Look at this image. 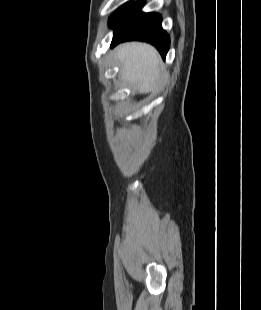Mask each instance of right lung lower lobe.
<instances>
[{
	"label": "right lung lower lobe",
	"mask_w": 261,
	"mask_h": 310,
	"mask_svg": "<svg viewBox=\"0 0 261 310\" xmlns=\"http://www.w3.org/2000/svg\"><path fill=\"white\" fill-rule=\"evenodd\" d=\"M143 4V1L128 4L110 22L114 28L111 47L128 40L146 41L154 45L165 58L170 40L161 27L162 18L156 13L141 12Z\"/></svg>",
	"instance_id": "1"
}]
</instances>
